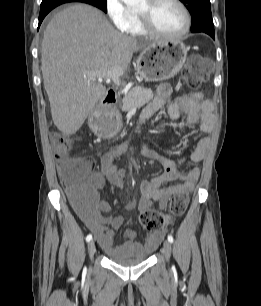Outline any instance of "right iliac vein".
Segmentation results:
<instances>
[{"label":"right iliac vein","instance_id":"right-iliac-vein-1","mask_svg":"<svg viewBox=\"0 0 261 306\" xmlns=\"http://www.w3.org/2000/svg\"><path fill=\"white\" fill-rule=\"evenodd\" d=\"M95 252H96V246L95 242L92 240L88 243V253L91 260L93 259Z\"/></svg>","mask_w":261,"mask_h":306}]
</instances>
